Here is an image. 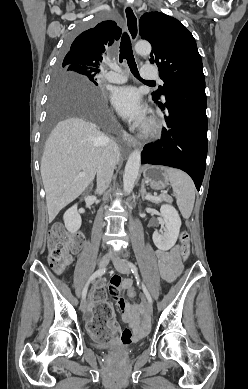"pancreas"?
Listing matches in <instances>:
<instances>
[{
	"label": "pancreas",
	"instance_id": "pancreas-1",
	"mask_svg": "<svg viewBox=\"0 0 248 389\" xmlns=\"http://www.w3.org/2000/svg\"><path fill=\"white\" fill-rule=\"evenodd\" d=\"M160 200H164V201H167V202H171L172 201V198L168 195H162V198Z\"/></svg>",
	"mask_w": 248,
	"mask_h": 389
}]
</instances>
